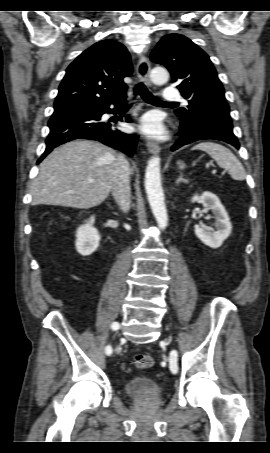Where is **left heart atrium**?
Segmentation results:
<instances>
[{"mask_svg": "<svg viewBox=\"0 0 270 453\" xmlns=\"http://www.w3.org/2000/svg\"><path fill=\"white\" fill-rule=\"evenodd\" d=\"M141 130L148 135H160L163 127L160 120L155 116H146L143 118L140 126Z\"/></svg>", "mask_w": 270, "mask_h": 453, "instance_id": "obj_1", "label": "left heart atrium"}]
</instances>
